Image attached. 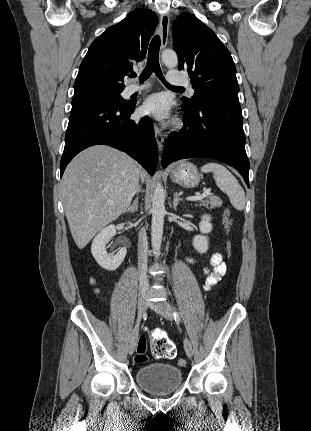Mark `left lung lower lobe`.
Wrapping results in <instances>:
<instances>
[{
    "label": "left lung lower lobe",
    "instance_id": "1",
    "mask_svg": "<svg viewBox=\"0 0 311 431\" xmlns=\"http://www.w3.org/2000/svg\"><path fill=\"white\" fill-rule=\"evenodd\" d=\"M185 127L166 140L162 166L184 158L209 157L234 167L249 187V160L239 100H210L194 110L183 108Z\"/></svg>",
    "mask_w": 311,
    "mask_h": 431
}]
</instances>
